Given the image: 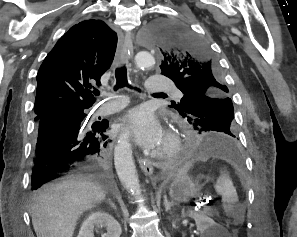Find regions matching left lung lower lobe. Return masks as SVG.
Masks as SVG:
<instances>
[{"instance_id": "left-lung-lower-lobe-1", "label": "left lung lower lobe", "mask_w": 297, "mask_h": 237, "mask_svg": "<svg viewBox=\"0 0 297 237\" xmlns=\"http://www.w3.org/2000/svg\"><path fill=\"white\" fill-rule=\"evenodd\" d=\"M198 133L199 136L194 137L188 143L184 157L218 156L232 158L237 156L236 141L216 132L198 131Z\"/></svg>"}]
</instances>
